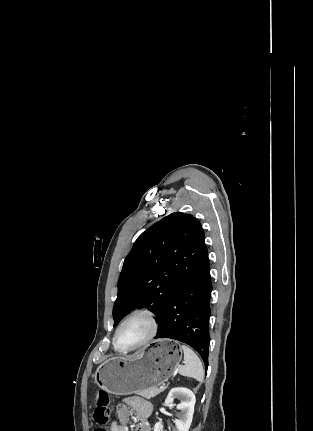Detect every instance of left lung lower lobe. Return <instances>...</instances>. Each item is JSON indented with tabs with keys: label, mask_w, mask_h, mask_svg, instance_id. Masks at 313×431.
I'll return each instance as SVG.
<instances>
[{
	"label": "left lung lower lobe",
	"mask_w": 313,
	"mask_h": 431,
	"mask_svg": "<svg viewBox=\"0 0 313 431\" xmlns=\"http://www.w3.org/2000/svg\"><path fill=\"white\" fill-rule=\"evenodd\" d=\"M212 284L208 251L165 305L155 338H171L194 348L208 367L209 301Z\"/></svg>",
	"instance_id": "left-lung-lower-lobe-1"
}]
</instances>
